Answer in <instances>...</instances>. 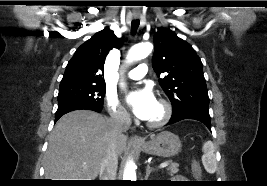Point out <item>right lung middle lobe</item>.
<instances>
[{
    "mask_svg": "<svg viewBox=\"0 0 267 186\" xmlns=\"http://www.w3.org/2000/svg\"><path fill=\"white\" fill-rule=\"evenodd\" d=\"M105 85L73 84L60 86L58 104L88 103L103 105Z\"/></svg>",
    "mask_w": 267,
    "mask_h": 186,
    "instance_id": "right-lung-middle-lobe-1",
    "label": "right lung middle lobe"
}]
</instances>
